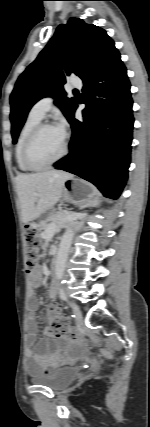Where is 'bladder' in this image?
<instances>
[{"label": "bladder", "instance_id": "obj_1", "mask_svg": "<svg viewBox=\"0 0 150 427\" xmlns=\"http://www.w3.org/2000/svg\"><path fill=\"white\" fill-rule=\"evenodd\" d=\"M79 368L76 366H64L51 370L42 375L31 378L35 385L45 386L53 391H59L71 384L79 375Z\"/></svg>", "mask_w": 150, "mask_h": 427}]
</instances>
